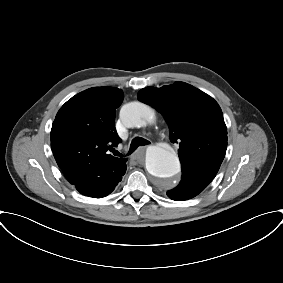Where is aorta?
<instances>
[{"label": "aorta", "mask_w": 283, "mask_h": 283, "mask_svg": "<svg viewBox=\"0 0 283 283\" xmlns=\"http://www.w3.org/2000/svg\"><path fill=\"white\" fill-rule=\"evenodd\" d=\"M121 119L128 127H143L147 122L154 121L155 112L144 103L132 102L122 107ZM146 169L165 188H171L175 186L173 178L180 172V162L171 148L150 146L146 151Z\"/></svg>", "instance_id": "aorta-1"}]
</instances>
